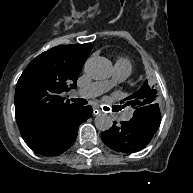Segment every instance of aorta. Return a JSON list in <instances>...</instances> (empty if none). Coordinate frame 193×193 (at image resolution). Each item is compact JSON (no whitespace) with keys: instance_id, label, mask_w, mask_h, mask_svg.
Wrapping results in <instances>:
<instances>
[{"instance_id":"762f6f07","label":"aorta","mask_w":193,"mask_h":193,"mask_svg":"<svg viewBox=\"0 0 193 193\" xmlns=\"http://www.w3.org/2000/svg\"><path fill=\"white\" fill-rule=\"evenodd\" d=\"M111 65L107 59L93 58L85 65L86 73L93 79H106L110 74ZM95 127L100 131H107L112 127L113 121L106 113L99 114L94 119Z\"/></svg>"}]
</instances>
